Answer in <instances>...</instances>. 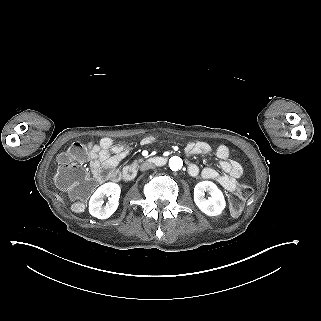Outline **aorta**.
Wrapping results in <instances>:
<instances>
[{
    "mask_svg": "<svg viewBox=\"0 0 321 321\" xmlns=\"http://www.w3.org/2000/svg\"><path fill=\"white\" fill-rule=\"evenodd\" d=\"M183 166V161L180 157L178 156H173L169 160V167L173 171H178L182 168Z\"/></svg>",
    "mask_w": 321,
    "mask_h": 321,
    "instance_id": "762f6f07",
    "label": "aorta"
}]
</instances>
